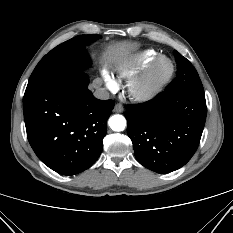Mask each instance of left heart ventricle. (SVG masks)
Segmentation results:
<instances>
[{
  "instance_id": "b2bd125f",
  "label": "left heart ventricle",
  "mask_w": 233,
  "mask_h": 233,
  "mask_svg": "<svg viewBox=\"0 0 233 233\" xmlns=\"http://www.w3.org/2000/svg\"><path fill=\"white\" fill-rule=\"evenodd\" d=\"M168 70H169V63L166 60L162 61L156 72V77H161L165 75L168 72Z\"/></svg>"
}]
</instances>
